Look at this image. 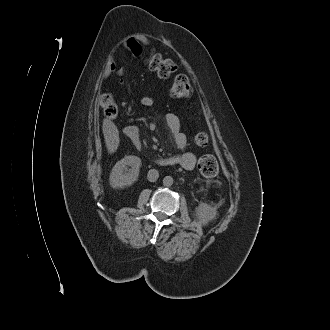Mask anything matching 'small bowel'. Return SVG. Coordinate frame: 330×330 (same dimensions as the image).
Here are the masks:
<instances>
[{"instance_id":"1","label":"small bowel","mask_w":330,"mask_h":330,"mask_svg":"<svg viewBox=\"0 0 330 330\" xmlns=\"http://www.w3.org/2000/svg\"><path fill=\"white\" fill-rule=\"evenodd\" d=\"M123 45L134 57H139L142 53V46L135 38L126 39ZM107 72L117 73L122 76L127 73V70L125 68H117L114 56H110L107 63ZM141 103L146 107H150L153 105V99L147 96L142 98ZM165 121L173 136L176 146L181 151L179 154L171 156L168 159L172 162V164H177L186 170L193 169L196 163V157L193 153L186 150L187 138L181 130L179 118L175 114H167Z\"/></svg>"}]
</instances>
